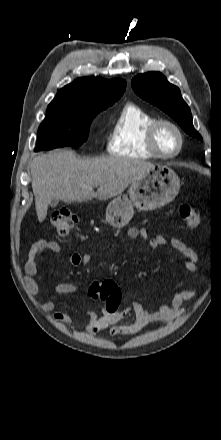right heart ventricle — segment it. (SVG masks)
Listing matches in <instances>:
<instances>
[{
  "mask_svg": "<svg viewBox=\"0 0 221 440\" xmlns=\"http://www.w3.org/2000/svg\"><path fill=\"white\" fill-rule=\"evenodd\" d=\"M154 120V115L137 104L126 103L112 126L108 152L116 157L154 158L147 145V129Z\"/></svg>",
  "mask_w": 221,
  "mask_h": 440,
  "instance_id": "1",
  "label": "right heart ventricle"
}]
</instances>
